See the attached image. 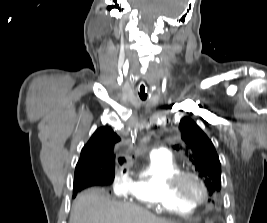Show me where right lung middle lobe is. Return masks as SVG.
Returning <instances> with one entry per match:
<instances>
[{
  "mask_svg": "<svg viewBox=\"0 0 267 223\" xmlns=\"http://www.w3.org/2000/svg\"><path fill=\"white\" fill-rule=\"evenodd\" d=\"M103 176L107 179L113 180L115 177V167H110L106 169Z\"/></svg>",
  "mask_w": 267,
  "mask_h": 223,
  "instance_id": "right-lung-middle-lobe-1",
  "label": "right lung middle lobe"
}]
</instances>
